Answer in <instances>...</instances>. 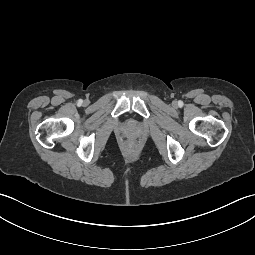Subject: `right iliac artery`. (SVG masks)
Masks as SVG:
<instances>
[{
  "label": "right iliac artery",
  "mask_w": 255,
  "mask_h": 255,
  "mask_svg": "<svg viewBox=\"0 0 255 255\" xmlns=\"http://www.w3.org/2000/svg\"><path fill=\"white\" fill-rule=\"evenodd\" d=\"M82 102H83V101L80 99V100L78 101V104H79V105H81V104H82Z\"/></svg>",
  "instance_id": "right-iliac-artery-1"
}]
</instances>
